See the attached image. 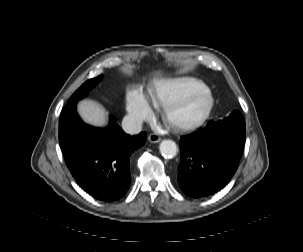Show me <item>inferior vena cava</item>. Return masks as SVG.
<instances>
[{
  "label": "inferior vena cava",
  "mask_w": 303,
  "mask_h": 252,
  "mask_svg": "<svg viewBox=\"0 0 303 252\" xmlns=\"http://www.w3.org/2000/svg\"><path fill=\"white\" fill-rule=\"evenodd\" d=\"M122 128L128 134H138L142 130V122L132 116H125L122 120Z\"/></svg>",
  "instance_id": "obj_1"
}]
</instances>
